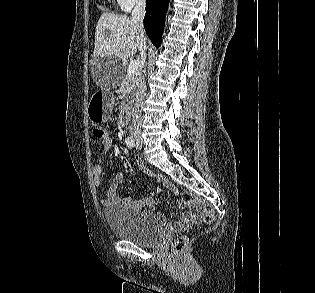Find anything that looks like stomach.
Instances as JSON below:
<instances>
[{
  "label": "stomach",
  "instance_id": "obj_1",
  "mask_svg": "<svg viewBox=\"0 0 315 293\" xmlns=\"http://www.w3.org/2000/svg\"><path fill=\"white\" fill-rule=\"evenodd\" d=\"M113 102L114 97L111 93L96 92L89 103L88 115L90 120L94 123L107 121L112 111Z\"/></svg>",
  "mask_w": 315,
  "mask_h": 293
}]
</instances>
